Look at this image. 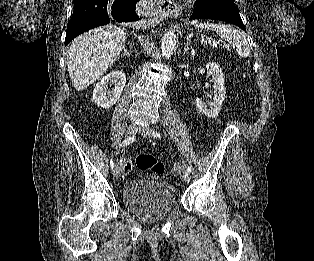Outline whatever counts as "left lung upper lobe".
Segmentation results:
<instances>
[{
	"label": "left lung upper lobe",
	"instance_id": "5c2ea615",
	"mask_svg": "<svg viewBox=\"0 0 314 261\" xmlns=\"http://www.w3.org/2000/svg\"><path fill=\"white\" fill-rule=\"evenodd\" d=\"M196 6H220V5H227V6H235L233 0H196Z\"/></svg>",
	"mask_w": 314,
	"mask_h": 261
}]
</instances>
